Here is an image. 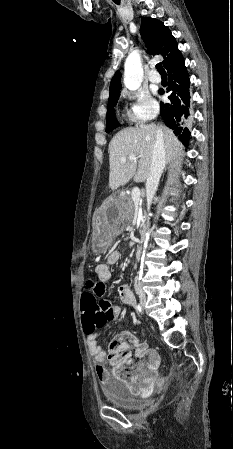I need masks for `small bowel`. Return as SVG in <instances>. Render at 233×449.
<instances>
[{"label": "small bowel", "mask_w": 233, "mask_h": 449, "mask_svg": "<svg viewBox=\"0 0 233 449\" xmlns=\"http://www.w3.org/2000/svg\"><path fill=\"white\" fill-rule=\"evenodd\" d=\"M120 257V251H113L108 255L105 263H101L96 267L95 271L98 279L93 282L94 286L89 290L91 293H96L95 300L98 302V306L101 308L106 307L105 313L107 316L104 317L103 328H83V330L87 336L89 350L93 357L96 375L99 380L102 383H107L108 381L109 374L105 366L107 361H109L110 365L113 367L118 379L123 382H125V379L122 377V374L128 368H131L132 375L129 376V383L132 384V390H134L133 398L149 399V390H153L154 371H156L159 366V356L157 352L149 348L146 344L140 342L137 338L131 337L127 342L120 345L119 353L114 359L121 361V364L116 365L101 347L99 335L96 331V329H105L111 320L118 318L121 312V307L114 304L112 299L105 300L108 296V290L105 286L112 279L110 266L118 262ZM118 296L124 304L128 305H131L134 299L129 285L120 286ZM133 357L140 359V362L136 366H133Z\"/></svg>", "instance_id": "c3829d8e"}]
</instances>
